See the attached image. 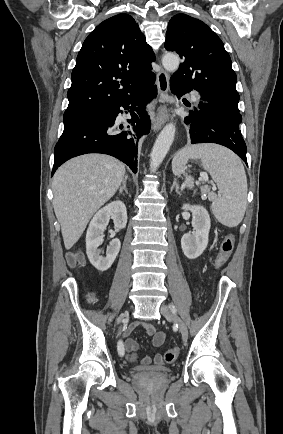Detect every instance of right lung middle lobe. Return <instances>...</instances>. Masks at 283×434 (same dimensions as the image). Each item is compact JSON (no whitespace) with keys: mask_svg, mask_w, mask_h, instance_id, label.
<instances>
[{"mask_svg":"<svg viewBox=\"0 0 283 434\" xmlns=\"http://www.w3.org/2000/svg\"><path fill=\"white\" fill-rule=\"evenodd\" d=\"M67 122H69V121H65V120H64V124L67 123Z\"/></svg>","mask_w":283,"mask_h":434,"instance_id":"dd1d6c3e","label":"right lung middle lobe"}]
</instances>
